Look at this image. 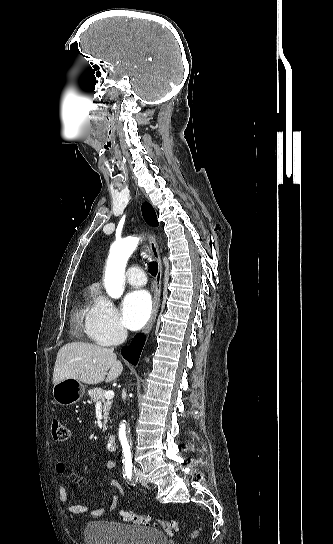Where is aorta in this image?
Segmentation results:
<instances>
[{
  "label": "aorta",
  "mask_w": 333,
  "mask_h": 544,
  "mask_svg": "<svg viewBox=\"0 0 333 544\" xmlns=\"http://www.w3.org/2000/svg\"><path fill=\"white\" fill-rule=\"evenodd\" d=\"M138 238L127 237L111 246L104 285L107 294L112 298H119L124 292V273L127 261L137 247ZM120 441L126 456L131 455V435L125 424L121 426Z\"/></svg>",
  "instance_id": "aorta-1"
}]
</instances>
